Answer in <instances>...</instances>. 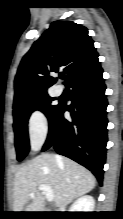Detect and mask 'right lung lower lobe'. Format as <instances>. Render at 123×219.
<instances>
[{"mask_svg": "<svg viewBox=\"0 0 123 219\" xmlns=\"http://www.w3.org/2000/svg\"><path fill=\"white\" fill-rule=\"evenodd\" d=\"M103 70L95 58L65 83L71 88V104L61 102L49 121V133L42 151L51 146L88 168L100 184L106 158L108 105L102 78ZM69 111L71 119L64 118Z\"/></svg>", "mask_w": 123, "mask_h": 219, "instance_id": "1", "label": "right lung lower lobe"}]
</instances>
